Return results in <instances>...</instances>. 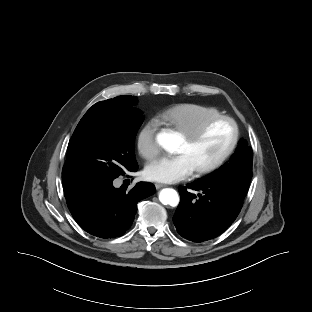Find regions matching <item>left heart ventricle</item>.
<instances>
[{
	"label": "left heart ventricle",
	"mask_w": 312,
	"mask_h": 312,
	"mask_svg": "<svg viewBox=\"0 0 312 312\" xmlns=\"http://www.w3.org/2000/svg\"><path fill=\"white\" fill-rule=\"evenodd\" d=\"M233 134V126L229 122H217L194 143H189L183 138L177 153L186 154L196 169L211 163L222 155L230 145Z\"/></svg>",
	"instance_id": "left-heart-ventricle-1"
}]
</instances>
